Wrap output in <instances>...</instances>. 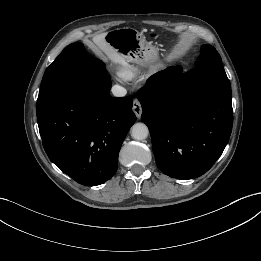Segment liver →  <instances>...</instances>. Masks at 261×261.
Instances as JSON below:
<instances>
[{"mask_svg":"<svg viewBox=\"0 0 261 261\" xmlns=\"http://www.w3.org/2000/svg\"><path fill=\"white\" fill-rule=\"evenodd\" d=\"M105 36L106 33H101L93 37L94 48L103 52L112 62L126 66L128 61L106 42Z\"/></svg>","mask_w":261,"mask_h":261,"instance_id":"1","label":"liver"}]
</instances>
